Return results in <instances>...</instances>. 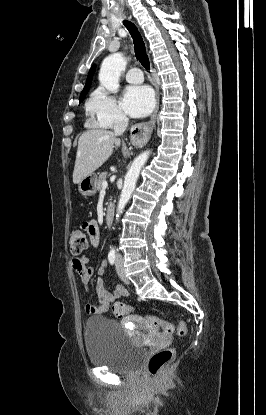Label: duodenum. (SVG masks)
<instances>
[{
    "label": "duodenum",
    "instance_id": "1",
    "mask_svg": "<svg viewBox=\"0 0 266 415\" xmlns=\"http://www.w3.org/2000/svg\"><path fill=\"white\" fill-rule=\"evenodd\" d=\"M114 214H115V207L113 204H109L106 208V214H105V221L108 226H111L114 220Z\"/></svg>",
    "mask_w": 266,
    "mask_h": 415
}]
</instances>
